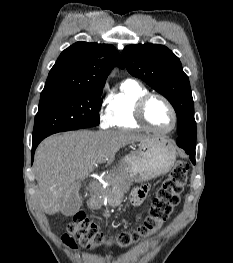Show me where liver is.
Returning <instances> with one entry per match:
<instances>
[{
  "label": "liver",
  "instance_id": "liver-1",
  "mask_svg": "<svg viewBox=\"0 0 233 263\" xmlns=\"http://www.w3.org/2000/svg\"><path fill=\"white\" fill-rule=\"evenodd\" d=\"M151 136L127 130L72 131L44 139L35 153L36 198L47 214L61 211L78 196L80 182L96 163L112 161L120 148Z\"/></svg>",
  "mask_w": 233,
  "mask_h": 263
}]
</instances>
